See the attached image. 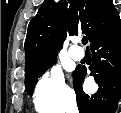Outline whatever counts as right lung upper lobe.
Here are the masks:
<instances>
[{
	"mask_svg": "<svg viewBox=\"0 0 121 113\" xmlns=\"http://www.w3.org/2000/svg\"><path fill=\"white\" fill-rule=\"evenodd\" d=\"M119 24L113 0H46L28 25L25 70L57 56L68 35L83 33L92 43Z\"/></svg>",
	"mask_w": 121,
	"mask_h": 113,
	"instance_id": "cb5924a9",
	"label": "right lung upper lobe"
}]
</instances>
